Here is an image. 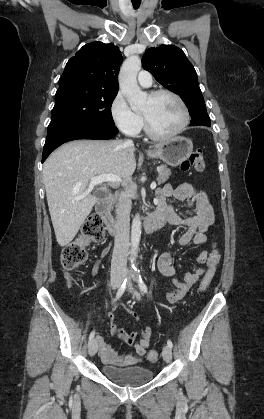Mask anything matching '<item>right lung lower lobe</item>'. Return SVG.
I'll use <instances>...</instances> for the list:
<instances>
[{
	"instance_id": "1",
	"label": "right lung lower lobe",
	"mask_w": 264,
	"mask_h": 419,
	"mask_svg": "<svg viewBox=\"0 0 264 419\" xmlns=\"http://www.w3.org/2000/svg\"><path fill=\"white\" fill-rule=\"evenodd\" d=\"M118 133L115 126L81 124L64 129L46 138L43 148L42 163L49 154L61 144L76 139H111Z\"/></svg>"
}]
</instances>
